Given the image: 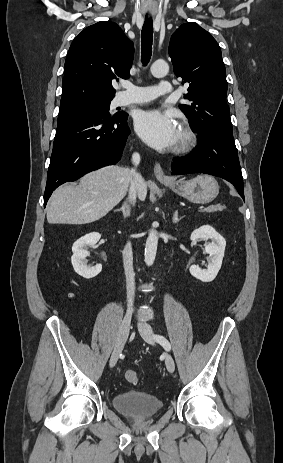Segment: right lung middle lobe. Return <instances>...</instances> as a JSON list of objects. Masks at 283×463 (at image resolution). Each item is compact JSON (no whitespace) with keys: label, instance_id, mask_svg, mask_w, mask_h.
Masks as SVG:
<instances>
[{"label":"right lung middle lobe","instance_id":"dd1d6c3e","mask_svg":"<svg viewBox=\"0 0 283 463\" xmlns=\"http://www.w3.org/2000/svg\"><path fill=\"white\" fill-rule=\"evenodd\" d=\"M111 100L112 99H94L65 109H60L58 123L86 113H100L110 117L111 115L108 112V110ZM116 115L118 114H115L113 116Z\"/></svg>","mask_w":283,"mask_h":463}]
</instances>
